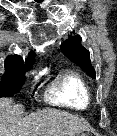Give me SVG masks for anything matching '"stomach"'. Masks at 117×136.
<instances>
[{
  "label": "stomach",
  "mask_w": 117,
  "mask_h": 136,
  "mask_svg": "<svg viewBox=\"0 0 117 136\" xmlns=\"http://www.w3.org/2000/svg\"><path fill=\"white\" fill-rule=\"evenodd\" d=\"M77 136H86L84 133H78Z\"/></svg>",
  "instance_id": "0dacf381"
}]
</instances>
